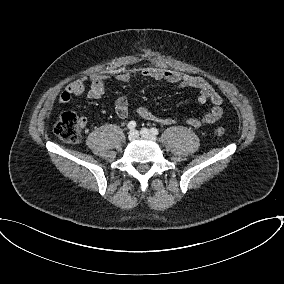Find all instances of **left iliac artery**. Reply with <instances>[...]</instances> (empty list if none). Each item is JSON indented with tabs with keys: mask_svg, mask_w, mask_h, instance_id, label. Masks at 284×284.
I'll list each match as a JSON object with an SVG mask.
<instances>
[{
	"mask_svg": "<svg viewBox=\"0 0 284 284\" xmlns=\"http://www.w3.org/2000/svg\"><path fill=\"white\" fill-rule=\"evenodd\" d=\"M151 132L154 134V135H157L159 133L158 129L156 128H151Z\"/></svg>",
	"mask_w": 284,
	"mask_h": 284,
	"instance_id": "44dca946",
	"label": "left iliac artery"
}]
</instances>
